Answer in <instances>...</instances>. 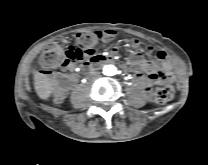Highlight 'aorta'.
<instances>
[{
	"label": "aorta",
	"mask_w": 208,
	"mask_h": 165,
	"mask_svg": "<svg viewBox=\"0 0 208 165\" xmlns=\"http://www.w3.org/2000/svg\"><path fill=\"white\" fill-rule=\"evenodd\" d=\"M116 71H117V69H116V67L113 66V65H108V66H106L105 69H104L105 74L108 75V76H113V75H115V74H116Z\"/></svg>",
	"instance_id": "obj_1"
}]
</instances>
